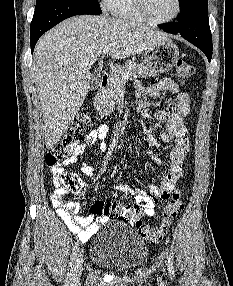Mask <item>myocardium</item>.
Segmentation results:
<instances>
[{"instance_id":"f54148a6","label":"myocardium","mask_w":233,"mask_h":286,"mask_svg":"<svg viewBox=\"0 0 233 286\" xmlns=\"http://www.w3.org/2000/svg\"><path fill=\"white\" fill-rule=\"evenodd\" d=\"M134 2V5L136 7V9L138 10V12L141 14V16L149 23L151 24H154V25H162V24H166V23H169L173 20H175L180 11H181V2L180 0H175L176 2V8H175V11L174 13L166 18V19H163V20H156V19H153L147 12V9H146V4H145V0H133Z\"/></svg>"}]
</instances>
